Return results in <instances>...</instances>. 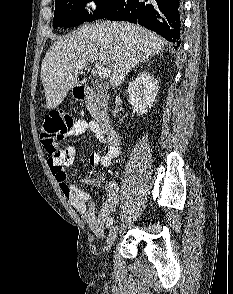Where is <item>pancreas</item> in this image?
I'll use <instances>...</instances> for the list:
<instances>
[{
    "label": "pancreas",
    "instance_id": "cf45deb5",
    "mask_svg": "<svg viewBox=\"0 0 233 294\" xmlns=\"http://www.w3.org/2000/svg\"><path fill=\"white\" fill-rule=\"evenodd\" d=\"M87 109L90 112L91 116L95 119H98L100 116V105L97 103L88 102Z\"/></svg>",
    "mask_w": 233,
    "mask_h": 294
}]
</instances>
